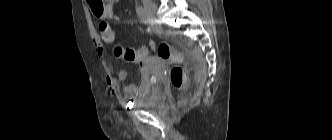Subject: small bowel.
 I'll return each instance as SVG.
<instances>
[{
  "label": "small bowel",
  "instance_id": "obj_1",
  "mask_svg": "<svg viewBox=\"0 0 332 140\" xmlns=\"http://www.w3.org/2000/svg\"><path fill=\"white\" fill-rule=\"evenodd\" d=\"M120 0H109L104 13L102 14L101 18L103 19H111L114 17V5L118 3ZM116 38V34L110 35V36H101L100 39L105 43H112L114 42ZM100 50V48H99ZM147 57V55H146ZM146 57L142 59L141 61L137 62L141 65V81L139 85L135 84H126L123 86V92L127 97L132 96H139L142 97L146 95L151 87V80L147 73V69L145 66ZM101 65L104 71L105 75V81L112 93H117L119 90V84L118 81H125L127 79V71L126 70H120L117 74V78L113 76L110 69L108 68L106 62L104 59H101Z\"/></svg>",
  "mask_w": 332,
  "mask_h": 140
}]
</instances>
